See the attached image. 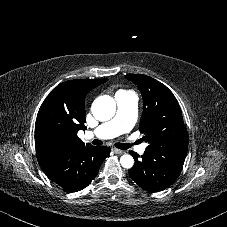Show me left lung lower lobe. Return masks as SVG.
<instances>
[{
    "label": "left lung lower lobe",
    "instance_id": "obj_1",
    "mask_svg": "<svg viewBox=\"0 0 227 227\" xmlns=\"http://www.w3.org/2000/svg\"><path fill=\"white\" fill-rule=\"evenodd\" d=\"M187 150L188 146H148L141 157L130 151L135 165L128 170L129 175L146 191H163L180 175Z\"/></svg>",
    "mask_w": 227,
    "mask_h": 227
}]
</instances>
